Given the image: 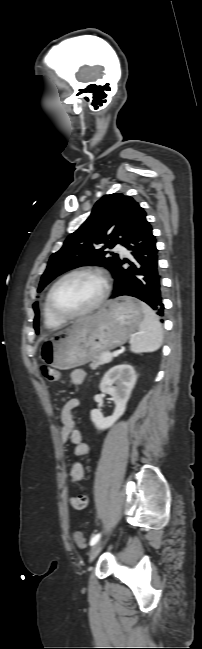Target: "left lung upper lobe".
I'll return each mask as SVG.
<instances>
[{"label":"left lung upper lobe","mask_w":202,"mask_h":649,"mask_svg":"<svg viewBox=\"0 0 202 649\" xmlns=\"http://www.w3.org/2000/svg\"><path fill=\"white\" fill-rule=\"evenodd\" d=\"M145 215V211L132 197L121 193L103 196L93 207L88 219L78 230L70 234L63 247L50 257L47 269L41 277L38 292L42 291L56 276L80 266L99 264L112 271L120 257L113 253L108 256L106 248L121 243L134 223ZM33 308L34 328L38 333L37 302L33 304Z\"/></svg>","instance_id":"5c2ea615"}]
</instances>
